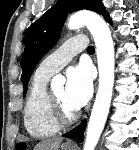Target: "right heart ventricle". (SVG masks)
Here are the masks:
<instances>
[{
    "mask_svg": "<svg viewBox=\"0 0 139 150\" xmlns=\"http://www.w3.org/2000/svg\"><path fill=\"white\" fill-rule=\"evenodd\" d=\"M48 80V76L35 74L24 106L25 128L35 138L48 137L59 130L48 114L46 89Z\"/></svg>",
    "mask_w": 139,
    "mask_h": 150,
    "instance_id": "e07e8e85",
    "label": "right heart ventricle"
}]
</instances>
